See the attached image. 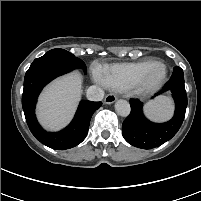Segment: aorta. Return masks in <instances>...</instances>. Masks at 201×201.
<instances>
[{"label":"aorta","instance_id":"1","mask_svg":"<svg viewBox=\"0 0 201 201\" xmlns=\"http://www.w3.org/2000/svg\"><path fill=\"white\" fill-rule=\"evenodd\" d=\"M130 104L126 100H118L115 103V111L122 117H127L130 114Z\"/></svg>","mask_w":201,"mask_h":201}]
</instances>
